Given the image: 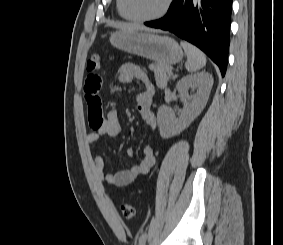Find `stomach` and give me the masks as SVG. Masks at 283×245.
Wrapping results in <instances>:
<instances>
[{"mask_svg":"<svg viewBox=\"0 0 283 245\" xmlns=\"http://www.w3.org/2000/svg\"><path fill=\"white\" fill-rule=\"evenodd\" d=\"M110 43L127 53L171 65L183 58V51L172 38L141 31L119 30L110 36Z\"/></svg>","mask_w":283,"mask_h":245,"instance_id":"1","label":"stomach"}]
</instances>
